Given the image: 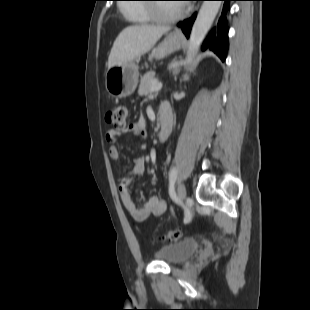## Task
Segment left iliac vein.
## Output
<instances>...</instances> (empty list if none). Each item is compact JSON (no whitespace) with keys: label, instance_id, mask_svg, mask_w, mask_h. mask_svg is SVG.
I'll return each instance as SVG.
<instances>
[{"label":"left iliac vein","instance_id":"4c4485c4","mask_svg":"<svg viewBox=\"0 0 310 310\" xmlns=\"http://www.w3.org/2000/svg\"><path fill=\"white\" fill-rule=\"evenodd\" d=\"M177 195L180 201H184L186 199V189L183 184L178 185Z\"/></svg>","mask_w":310,"mask_h":310}]
</instances>
